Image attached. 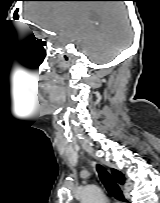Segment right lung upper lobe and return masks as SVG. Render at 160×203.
Wrapping results in <instances>:
<instances>
[{
  "label": "right lung upper lobe",
  "instance_id": "1",
  "mask_svg": "<svg viewBox=\"0 0 160 203\" xmlns=\"http://www.w3.org/2000/svg\"><path fill=\"white\" fill-rule=\"evenodd\" d=\"M112 173H113L114 178L116 179V181L119 184H124L125 183V177L121 172H119V171H117L115 169H112Z\"/></svg>",
  "mask_w": 160,
  "mask_h": 203
}]
</instances>
